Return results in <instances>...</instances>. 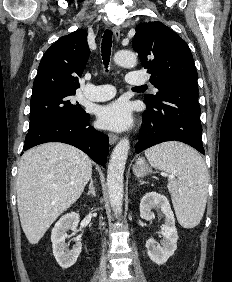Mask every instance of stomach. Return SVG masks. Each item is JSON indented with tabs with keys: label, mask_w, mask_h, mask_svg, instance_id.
I'll use <instances>...</instances> for the list:
<instances>
[{
	"label": "stomach",
	"mask_w": 232,
	"mask_h": 282,
	"mask_svg": "<svg viewBox=\"0 0 232 282\" xmlns=\"http://www.w3.org/2000/svg\"><path fill=\"white\" fill-rule=\"evenodd\" d=\"M133 171L137 177H144L151 172V169L147 164L143 163L135 165Z\"/></svg>",
	"instance_id": "1"
}]
</instances>
